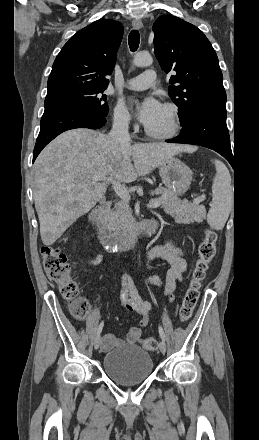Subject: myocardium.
<instances>
[{
	"instance_id": "f54148a6",
	"label": "myocardium",
	"mask_w": 259,
	"mask_h": 440,
	"mask_svg": "<svg viewBox=\"0 0 259 440\" xmlns=\"http://www.w3.org/2000/svg\"><path fill=\"white\" fill-rule=\"evenodd\" d=\"M163 107L169 112L170 115V127L167 131L163 133L153 132L147 127H145V133L152 139L156 140H168L177 135L180 130V113L179 108L176 104L171 102L164 103Z\"/></svg>"
}]
</instances>
